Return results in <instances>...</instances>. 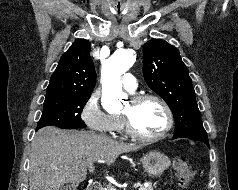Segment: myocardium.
Returning <instances> with one entry per match:
<instances>
[{
	"instance_id": "obj_1",
	"label": "myocardium",
	"mask_w": 238,
	"mask_h": 190,
	"mask_svg": "<svg viewBox=\"0 0 238 190\" xmlns=\"http://www.w3.org/2000/svg\"><path fill=\"white\" fill-rule=\"evenodd\" d=\"M146 100L156 101L157 103L160 104V106L163 108L165 112L166 126L159 134L150 136V135L142 134L139 131H137V129L134 127L130 112L122 113L120 117L122 119L126 133L130 135L132 138L140 140V141H145V142H154V141H158L165 138L169 134V132L173 128L174 117H173V112L170 106L168 105V103L162 97L156 94H152V93L137 94L131 97L129 102L131 104V108H134Z\"/></svg>"
}]
</instances>
